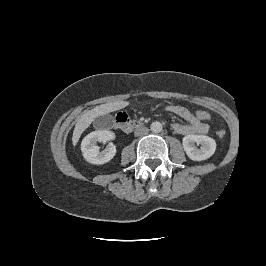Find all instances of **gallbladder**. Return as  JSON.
<instances>
[{"mask_svg":"<svg viewBox=\"0 0 266 266\" xmlns=\"http://www.w3.org/2000/svg\"><path fill=\"white\" fill-rule=\"evenodd\" d=\"M93 123L97 128L111 127L114 123V118L111 115L106 114L97 117Z\"/></svg>","mask_w":266,"mask_h":266,"instance_id":"gallbladder-1","label":"gallbladder"}]
</instances>
